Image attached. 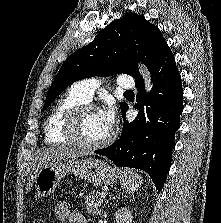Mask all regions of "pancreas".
Returning a JSON list of instances; mask_svg holds the SVG:
<instances>
[{"instance_id": "pancreas-1", "label": "pancreas", "mask_w": 221, "mask_h": 223, "mask_svg": "<svg viewBox=\"0 0 221 223\" xmlns=\"http://www.w3.org/2000/svg\"><path fill=\"white\" fill-rule=\"evenodd\" d=\"M103 192L91 191L89 195L84 196V201L86 203V210L89 214L96 215L98 214V207L103 201Z\"/></svg>"}]
</instances>
